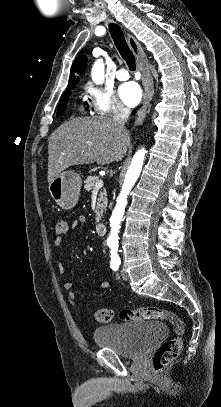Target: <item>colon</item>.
I'll list each match as a JSON object with an SVG mask.
<instances>
[{
  "mask_svg": "<svg viewBox=\"0 0 221 407\" xmlns=\"http://www.w3.org/2000/svg\"><path fill=\"white\" fill-rule=\"evenodd\" d=\"M68 232V221L61 217L57 220L56 233L64 235ZM115 313L111 309H98L94 312V317L98 322L108 323L113 320ZM123 321L133 320H154L169 322L175 332V336L161 343L153 357V372L155 374L166 370L171 363L178 357L181 349L182 335L184 333V324L175 314L156 306H146L136 310H123L119 313Z\"/></svg>",
  "mask_w": 221,
  "mask_h": 407,
  "instance_id": "obj_1",
  "label": "colon"
}]
</instances>
